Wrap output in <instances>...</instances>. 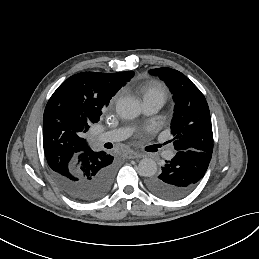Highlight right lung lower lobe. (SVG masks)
<instances>
[{"label": "right lung lower lobe", "instance_id": "right-lung-lower-lobe-1", "mask_svg": "<svg viewBox=\"0 0 259 259\" xmlns=\"http://www.w3.org/2000/svg\"><path fill=\"white\" fill-rule=\"evenodd\" d=\"M113 157L104 151H91L78 159L67 171L52 176L60 189L79 202H94L105 196L115 175Z\"/></svg>", "mask_w": 259, "mask_h": 259}]
</instances>
